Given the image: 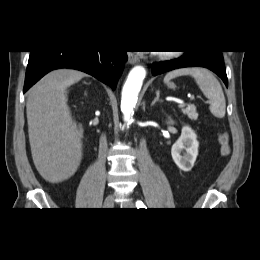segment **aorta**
Wrapping results in <instances>:
<instances>
[{"mask_svg": "<svg viewBox=\"0 0 260 260\" xmlns=\"http://www.w3.org/2000/svg\"><path fill=\"white\" fill-rule=\"evenodd\" d=\"M146 70L143 66H135L129 73L122 89L121 111L124 121L128 124L132 122L134 108L137 103L138 94L141 90Z\"/></svg>", "mask_w": 260, "mask_h": 260, "instance_id": "1", "label": "aorta"}]
</instances>
